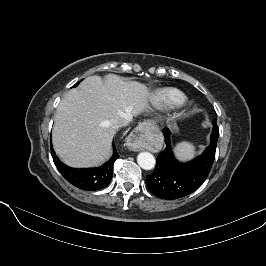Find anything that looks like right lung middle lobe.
<instances>
[{"label": "right lung middle lobe", "instance_id": "1", "mask_svg": "<svg viewBox=\"0 0 266 266\" xmlns=\"http://www.w3.org/2000/svg\"><path fill=\"white\" fill-rule=\"evenodd\" d=\"M79 83H77L76 85H74V87H76Z\"/></svg>", "mask_w": 266, "mask_h": 266}]
</instances>
